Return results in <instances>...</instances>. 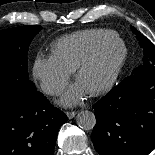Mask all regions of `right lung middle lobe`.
<instances>
[{"label":"right lung middle lobe","instance_id":"right-lung-middle-lobe-1","mask_svg":"<svg viewBox=\"0 0 155 155\" xmlns=\"http://www.w3.org/2000/svg\"><path fill=\"white\" fill-rule=\"evenodd\" d=\"M41 29L27 25L0 31V95L16 101L32 98L36 87L29 80L27 52Z\"/></svg>","mask_w":155,"mask_h":155}]
</instances>
